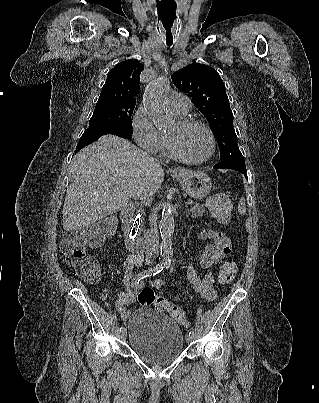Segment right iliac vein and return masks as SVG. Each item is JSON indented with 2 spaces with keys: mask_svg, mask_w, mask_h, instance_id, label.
I'll return each instance as SVG.
<instances>
[{
  "mask_svg": "<svg viewBox=\"0 0 319 403\" xmlns=\"http://www.w3.org/2000/svg\"><path fill=\"white\" fill-rule=\"evenodd\" d=\"M121 338L124 340V339H126V330H123L122 332H121Z\"/></svg>",
  "mask_w": 319,
  "mask_h": 403,
  "instance_id": "63e3f726",
  "label": "right iliac vein"
}]
</instances>
